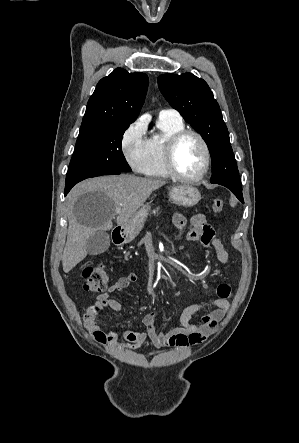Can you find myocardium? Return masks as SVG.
Instances as JSON below:
<instances>
[{
  "label": "myocardium",
  "mask_w": 299,
  "mask_h": 443,
  "mask_svg": "<svg viewBox=\"0 0 299 443\" xmlns=\"http://www.w3.org/2000/svg\"><path fill=\"white\" fill-rule=\"evenodd\" d=\"M187 136L196 137L204 151V163L202 170L194 176H186L179 172L175 164V152L180 142ZM211 164L210 148L204 137L197 131L192 129H182L173 134L165 144L164 148V165L170 176L183 182H197L202 180L209 171Z\"/></svg>",
  "instance_id": "myocardium-1"
}]
</instances>
